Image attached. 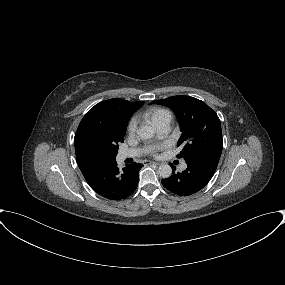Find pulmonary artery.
I'll return each mask as SVG.
<instances>
[{
	"label": "pulmonary artery",
	"mask_w": 285,
	"mask_h": 285,
	"mask_svg": "<svg viewBox=\"0 0 285 285\" xmlns=\"http://www.w3.org/2000/svg\"><path fill=\"white\" fill-rule=\"evenodd\" d=\"M170 125H171V116H166L162 118L157 124V130L161 135H166L169 130H170ZM144 152V149H130V150H125L119 153L118 157L119 159L123 160L126 158H131V157H137L140 156ZM186 168V163L181 164V169Z\"/></svg>",
	"instance_id": "e3ab8cb5"
}]
</instances>
